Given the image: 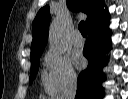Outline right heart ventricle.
Returning a JSON list of instances; mask_svg holds the SVG:
<instances>
[{
	"label": "right heart ventricle",
	"instance_id": "1",
	"mask_svg": "<svg viewBox=\"0 0 128 99\" xmlns=\"http://www.w3.org/2000/svg\"><path fill=\"white\" fill-rule=\"evenodd\" d=\"M42 79H43V84H44L45 89L47 91L51 92L53 89H52V86L50 84L48 76L44 74Z\"/></svg>",
	"mask_w": 128,
	"mask_h": 99
}]
</instances>
